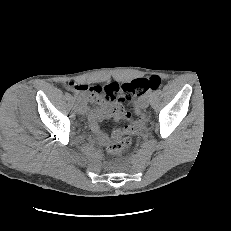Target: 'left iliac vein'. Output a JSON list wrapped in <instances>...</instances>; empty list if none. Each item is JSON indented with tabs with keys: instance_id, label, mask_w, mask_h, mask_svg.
<instances>
[{
	"instance_id": "obj_1",
	"label": "left iliac vein",
	"mask_w": 231,
	"mask_h": 231,
	"mask_svg": "<svg viewBox=\"0 0 231 231\" xmlns=\"http://www.w3.org/2000/svg\"><path fill=\"white\" fill-rule=\"evenodd\" d=\"M148 105H149V98L148 96H144L140 101V106L141 108L145 109L148 107Z\"/></svg>"
}]
</instances>
